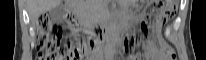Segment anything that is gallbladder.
Masks as SVG:
<instances>
[{
	"label": "gallbladder",
	"mask_w": 206,
	"mask_h": 60,
	"mask_svg": "<svg viewBox=\"0 0 206 60\" xmlns=\"http://www.w3.org/2000/svg\"><path fill=\"white\" fill-rule=\"evenodd\" d=\"M51 18L56 22H61L64 19L65 7L64 4H60L59 6L53 8L49 11Z\"/></svg>",
	"instance_id": "1"
}]
</instances>
